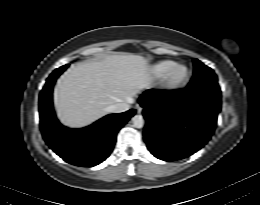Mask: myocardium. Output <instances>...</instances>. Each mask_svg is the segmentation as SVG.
<instances>
[{"label": "myocardium", "instance_id": "myocardium-1", "mask_svg": "<svg viewBox=\"0 0 260 205\" xmlns=\"http://www.w3.org/2000/svg\"><path fill=\"white\" fill-rule=\"evenodd\" d=\"M180 68H183L185 70V74L181 78H176L175 73ZM190 76H191V71L186 65L175 64L162 78V87L164 90L169 92L176 91L182 88L183 86H185L189 82Z\"/></svg>", "mask_w": 260, "mask_h": 205}]
</instances>
